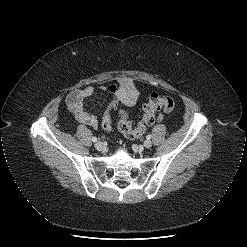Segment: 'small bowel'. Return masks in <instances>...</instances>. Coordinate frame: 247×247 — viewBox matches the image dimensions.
Segmentation results:
<instances>
[{"mask_svg":"<svg viewBox=\"0 0 247 247\" xmlns=\"http://www.w3.org/2000/svg\"><path fill=\"white\" fill-rule=\"evenodd\" d=\"M100 90L113 95H118L119 93V88L115 83H111L108 86L101 87ZM95 92V88L86 87L70 92L66 98L68 109L75 116V118L79 122L89 125L93 128L98 127L99 117L98 115L91 113L85 109L84 101L86 98L94 95Z\"/></svg>","mask_w":247,"mask_h":247,"instance_id":"obj_1","label":"small bowel"}]
</instances>
